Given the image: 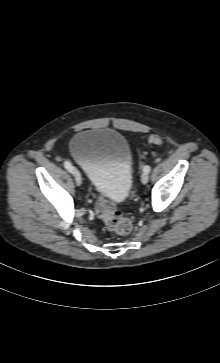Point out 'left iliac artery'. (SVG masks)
<instances>
[{
    "label": "left iliac artery",
    "mask_w": 220,
    "mask_h": 363,
    "mask_svg": "<svg viewBox=\"0 0 220 363\" xmlns=\"http://www.w3.org/2000/svg\"><path fill=\"white\" fill-rule=\"evenodd\" d=\"M150 170H151V168H150V166L149 165H146V166H144V168H143V171L145 172V173H149L150 172Z\"/></svg>",
    "instance_id": "obj_1"
}]
</instances>
